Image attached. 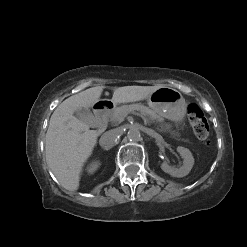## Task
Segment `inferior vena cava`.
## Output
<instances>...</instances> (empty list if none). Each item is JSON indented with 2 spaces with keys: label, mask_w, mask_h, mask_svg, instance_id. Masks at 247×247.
<instances>
[{
  "label": "inferior vena cava",
  "mask_w": 247,
  "mask_h": 247,
  "mask_svg": "<svg viewBox=\"0 0 247 247\" xmlns=\"http://www.w3.org/2000/svg\"><path fill=\"white\" fill-rule=\"evenodd\" d=\"M120 135V131L118 129H112L106 131L100 138L99 143L102 147H111L113 146L115 140Z\"/></svg>",
  "instance_id": "inferior-vena-cava-1"
}]
</instances>
